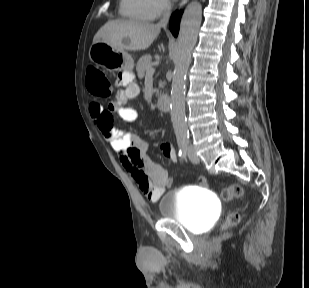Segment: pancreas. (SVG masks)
<instances>
[{
	"label": "pancreas",
	"mask_w": 309,
	"mask_h": 288,
	"mask_svg": "<svg viewBox=\"0 0 309 288\" xmlns=\"http://www.w3.org/2000/svg\"><path fill=\"white\" fill-rule=\"evenodd\" d=\"M151 60V55H144L138 60L136 70L140 79L145 76V72L147 73L148 68L151 67ZM156 94L159 95V90L156 91Z\"/></svg>",
	"instance_id": "1"
}]
</instances>
